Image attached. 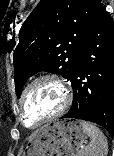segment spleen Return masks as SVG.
<instances>
[{
	"mask_svg": "<svg viewBox=\"0 0 114 156\" xmlns=\"http://www.w3.org/2000/svg\"><path fill=\"white\" fill-rule=\"evenodd\" d=\"M80 125L90 138V142L81 149L79 156H107L108 143L103 132L87 121H81Z\"/></svg>",
	"mask_w": 114,
	"mask_h": 156,
	"instance_id": "3e777b00",
	"label": "spleen"
}]
</instances>
